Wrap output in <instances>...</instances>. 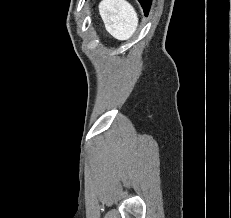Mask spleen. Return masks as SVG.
Segmentation results:
<instances>
[{"label":"spleen","instance_id":"1","mask_svg":"<svg viewBox=\"0 0 231 218\" xmlns=\"http://www.w3.org/2000/svg\"><path fill=\"white\" fill-rule=\"evenodd\" d=\"M99 13L106 30L118 40L129 39L137 29V13L125 0H102Z\"/></svg>","mask_w":231,"mask_h":218}]
</instances>
